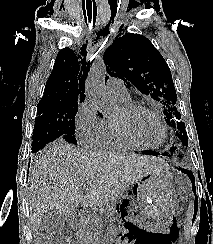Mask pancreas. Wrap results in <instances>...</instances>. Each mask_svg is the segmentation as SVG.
<instances>
[{"instance_id":"obj_1","label":"pancreas","mask_w":213,"mask_h":244,"mask_svg":"<svg viewBox=\"0 0 213 244\" xmlns=\"http://www.w3.org/2000/svg\"><path fill=\"white\" fill-rule=\"evenodd\" d=\"M79 235L83 244L92 243L96 239L97 227L93 219H86L79 225Z\"/></svg>"}]
</instances>
